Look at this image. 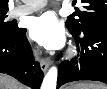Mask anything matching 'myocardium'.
Here are the masks:
<instances>
[{
    "label": "myocardium",
    "mask_w": 107,
    "mask_h": 89,
    "mask_svg": "<svg viewBox=\"0 0 107 89\" xmlns=\"http://www.w3.org/2000/svg\"><path fill=\"white\" fill-rule=\"evenodd\" d=\"M74 55V49H70V51L68 52V56L71 57Z\"/></svg>",
    "instance_id": "obj_1"
}]
</instances>
